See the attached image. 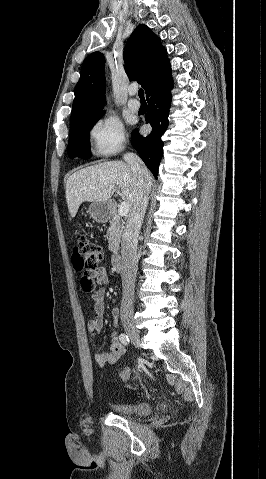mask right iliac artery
<instances>
[{
  "label": "right iliac artery",
  "instance_id": "right-iliac-artery-1",
  "mask_svg": "<svg viewBox=\"0 0 266 479\" xmlns=\"http://www.w3.org/2000/svg\"><path fill=\"white\" fill-rule=\"evenodd\" d=\"M119 340L121 341V343H123L124 345H128L129 344V337L125 334V333H121L119 335Z\"/></svg>",
  "mask_w": 266,
  "mask_h": 479
}]
</instances>
